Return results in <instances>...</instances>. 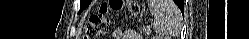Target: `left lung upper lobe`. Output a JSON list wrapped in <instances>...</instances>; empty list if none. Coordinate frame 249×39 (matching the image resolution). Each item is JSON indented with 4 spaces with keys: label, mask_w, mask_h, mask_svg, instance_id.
I'll return each instance as SVG.
<instances>
[{
    "label": "left lung upper lobe",
    "mask_w": 249,
    "mask_h": 39,
    "mask_svg": "<svg viewBox=\"0 0 249 39\" xmlns=\"http://www.w3.org/2000/svg\"><path fill=\"white\" fill-rule=\"evenodd\" d=\"M90 3V0H81V9L80 11H82L88 4ZM180 4V2H178V5Z\"/></svg>",
    "instance_id": "obj_1"
}]
</instances>
